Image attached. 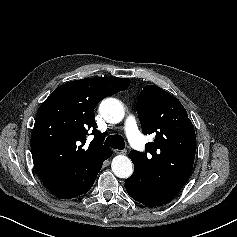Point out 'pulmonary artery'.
<instances>
[{"label": "pulmonary artery", "mask_w": 237, "mask_h": 237, "mask_svg": "<svg viewBox=\"0 0 237 237\" xmlns=\"http://www.w3.org/2000/svg\"><path fill=\"white\" fill-rule=\"evenodd\" d=\"M125 130L131 145L136 148L142 147V136L137 128L135 118L132 115H129L126 119Z\"/></svg>", "instance_id": "e3ab8cb5"}]
</instances>
